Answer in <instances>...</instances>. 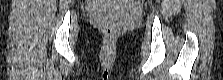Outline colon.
Masks as SVG:
<instances>
[{
	"label": "colon",
	"mask_w": 223,
	"mask_h": 80,
	"mask_svg": "<svg viewBox=\"0 0 223 80\" xmlns=\"http://www.w3.org/2000/svg\"><path fill=\"white\" fill-rule=\"evenodd\" d=\"M134 2L137 3L138 1H134ZM103 31L107 36H113L114 34H116L117 29L113 25L104 24Z\"/></svg>",
	"instance_id": "1"
}]
</instances>
